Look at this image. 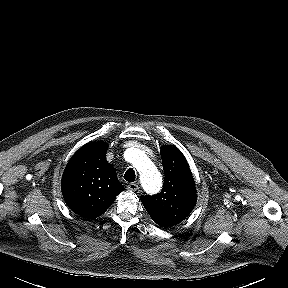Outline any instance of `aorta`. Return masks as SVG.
Segmentation results:
<instances>
[{
	"mask_svg": "<svg viewBox=\"0 0 288 288\" xmlns=\"http://www.w3.org/2000/svg\"><path fill=\"white\" fill-rule=\"evenodd\" d=\"M130 162L138 169L143 187L149 192H157L162 185V178L147 156L141 150L133 148Z\"/></svg>",
	"mask_w": 288,
	"mask_h": 288,
	"instance_id": "obj_1",
	"label": "aorta"
}]
</instances>
